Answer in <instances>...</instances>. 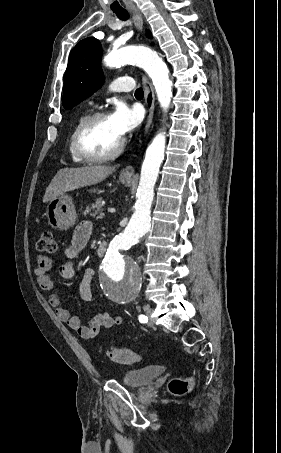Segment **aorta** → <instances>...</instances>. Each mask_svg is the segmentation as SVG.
Wrapping results in <instances>:
<instances>
[{
  "label": "aorta",
  "instance_id": "762f6f07",
  "mask_svg": "<svg viewBox=\"0 0 281 453\" xmlns=\"http://www.w3.org/2000/svg\"><path fill=\"white\" fill-rule=\"evenodd\" d=\"M107 67L131 63L142 68L151 78L160 106L166 111L172 98V82L163 60L148 47L122 48L104 57ZM166 137L159 132L147 147L141 168L135 211L125 228L109 244L101 264L100 287L109 300L123 304L132 301L141 288L137 263L122 251L127 250L150 230L151 205L159 168L164 159Z\"/></svg>",
  "mask_w": 281,
  "mask_h": 453
}]
</instances>
